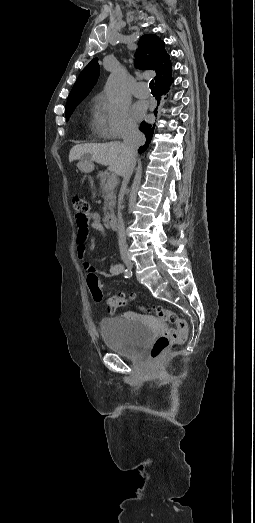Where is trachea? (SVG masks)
<instances>
[{
	"instance_id": "1",
	"label": "trachea",
	"mask_w": 255,
	"mask_h": 523,
	"mask_svg": "<svg viewBox=\"0 0 255 523\" xmlns=\"http://www.w3.org/2000/svg\"><path fill=\"white\" fill-rule=\"evenodd\" d=\"M149 87L151 91H155V85L153 80H151V82L149 83Z\"/></svg>"
}]
</instances>
